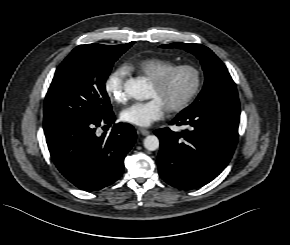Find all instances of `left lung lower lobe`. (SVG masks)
<instances>
[{"instance_id":"left-lung-lower-lobe-1","label":"left lung lower lobe","mask_w":290,"mask_h":245,"mask_svg":"<svg viewBox=\"0 0 290 245\" xmlns=\"http://www.w3.org/2000/svg\"><path fill=\"white\" fill-rule=\"evenodd\" d=\"M240 112L212 106L177 115L171 125H188L189 130L169 128L154 133L160 139L158 170L173 187L189 190L206 185L229 163L237 141Z\"/></svg>"}]
</instances>
